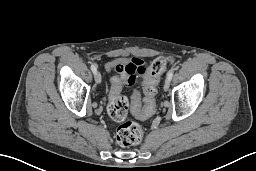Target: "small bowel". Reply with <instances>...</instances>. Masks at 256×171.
Listing matches in <instances>:
<instances>
[{
    "label": "small bowel",
    "mask_w": 256,
    "mask_h": 171,
    "mask_svg": "<svg viewBox=\"0 0 256 171\" xmlns=\"http://www.w3.org/2000/svg\"><path fill=\"white\" fill-rule=\"evenodd\" d=\"M109 67L114 68L121 75L122 82H127L129 84L133 83L137 77L144 76L147 73L146 63L141 58L137 57L114 61L109 65ZM119 84L120 82H115L114 88H117ZM151 113H145L140 117L145 119L149 117Z\"/></svg>",
    "instance_id": "1"
}]
</instances>
